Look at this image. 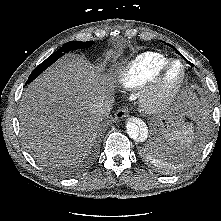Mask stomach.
<instances>
[{"mask_svg":"<svg viewBox=\"0 0 221 221\" xmlns=\"http://www.w3.org/2000/svg\"><path fill=\"white\" fill-rule=\"evenodd\" d=\"M185 110L182 106L175 104L165 108L162 114L157 118V127L160 132L175 129L179 124H182Z\"/></svg>","mask_w":221,"mask_h":221,"instance_id":"stomach-1","label":"stomach"}]
</instances>
